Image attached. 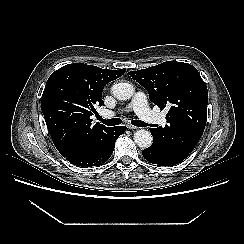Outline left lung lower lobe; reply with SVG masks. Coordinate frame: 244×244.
I'll return each mask as SVG.
<instances>
[{
	"instance_id": "1",
	"label": "left lung lower lobe",
	"mask_w": 244,
	"mask_h": 244,
	"mask_svg": "<svg viewBox=\"0 0 244 244\" xmlns=\"http://www.w3.org/2000/svg\"><path fill=\"white\" fill-rule=\"evenodd\" d=\"M150 130L152 133L153 132L152 128ZM142 154L147 161L156 164L158 166H173L185 159V158H177V157L174 158L166 157L163 148L156 144H152L149 148L143 150Z\"/></svg>"
}]
</instances>
